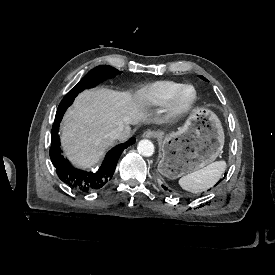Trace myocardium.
Instances as JSON below:
<instances>
[{"instance_id":"1","label":"myocardium","mask_w":275,"mask_h":275,"mask_svg":"<svg viewBox=\"0 0 275 275\" xmlns=\"http://www.w3.org/2000/svg\"><path fill=\"white\" fill-rule=\"evenodd\" d=\"M197 100L194 86L181 84L173 93L167 106V119L170 121L184 117L192 109Z\"/></svg>"}]
</instances>
